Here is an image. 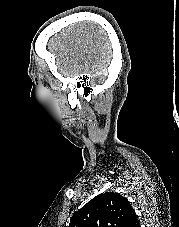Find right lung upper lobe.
I'll return each instance as SVG.
<instances>
[{
  "label": "right lung upper lobe",
  "instance_id": "right-lung-upper-lobe-1",
  "mask_svg": "<svg viewBox=\"0 0 179 227\" xmlns=\"http://www.w3.org/2000/svg\"><path fill=\"white\" fill-rule=\"evenodd\" d=\"M68 227H140L130 202L118 193L95 196L72 216Z\"/></svg>",
  "mask_w": 179,
  "mask_h": 227
}]
</instances>
